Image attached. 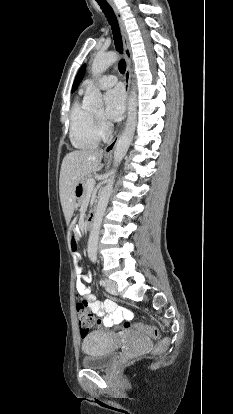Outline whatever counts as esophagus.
I'll return each instance as SVG.
<instances>
[{
  "instance_id": "34e87169",
  "label": "esophagus",
  "mask_w": 233,
  "mask_h": 414,
  "mask_svg": "<svg viewBox=\"0 0 233 414\" xmlns=\"http://www.w3.org/2000/svg\"><path fill=\"white\" fill-rule=\"evenodd\" d=\"M115 15L116 18L118 20L119 26H120V30H121V35H122V40H123V48H124V54L126 57V71H125V77H124V84H125V90H126V94H127V99L129 97V90H130V80H131V59H132V53H131V47L129 44V40H128V35L126 32V28H125V24L122 18V15L120 13V11L117 9L116 5L114 4L113 0H108ZM120 133L105 147L104 149V154L105 155H112L116 144L118 142Z\"/></svg>"
}]
</instances>
